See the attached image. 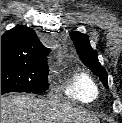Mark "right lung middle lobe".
I'll use <instances>...</instances> for the list:
<instances>
[{
	"instance_id": "dd1d6c3e",
	"label": "right lung middle lobe",
	"mask_w": 122,
	"mask_h": 123,
	"mask_svg": "<svg viewBox=\"0 0 122 123\" xmlns=\"http://www.w3.org/2000/svg\"><path fill=\"white\" fill-rule=\"evenodd\" d=\"M47 77V60L1 57V95L8 92H45L49 85Z\"/></svg>"
}]
</instances>
